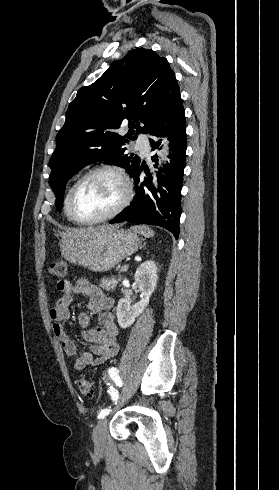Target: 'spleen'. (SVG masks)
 Returning a JSON list of instances; mask_svg holds the SVG:
<instances>
[{"label": "spleen", "instance_id": "3e777b00", "mask_svg": "<svg viewBox=\"0 0 279 490\" xmlns=\"http://www.w3.org/2000/svg\"><path fill=\"white\" fill-rule=\"evenodd\" d=\"M131 230L137 232V234H142L145 238H152L153 230H150L148 226H132Z\"/></svg>", "mask_w": 279, "mask_h": 490}]
</instances>
